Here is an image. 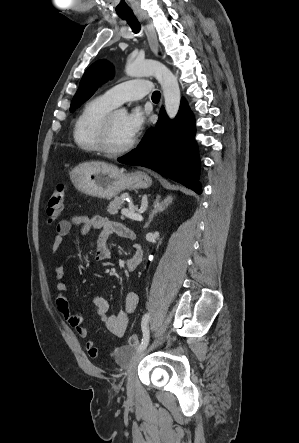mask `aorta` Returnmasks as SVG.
Returning <instances> with one entry per match:
<instances>
[{
	"mask_svg": "<svg viewBox=\"0 0 299 443\" xmlns=\"http://www.w3.org/2000/svg\"><path fill=\"white\" fill-rule=\"evenodd\" d=\"M125 72L130 77L154 76L161 84L165 99V110L170 119H174L180 107V88L175 75L162 63L152 60L128 59ZM127 114L125 108L119 111Z\"/></svg>",
	"mask_w": 299,
	"mask_h": 443,
	"instance_id": "762f6f07",
	"label": "aorta"
}]
</instances>
